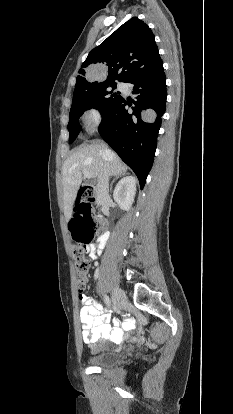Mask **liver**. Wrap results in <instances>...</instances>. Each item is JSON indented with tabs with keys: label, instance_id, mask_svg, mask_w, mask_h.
Segmentation results:
<instances>
[{
	"label": "liver",
	"instance_id": "obj_1",
	"mask_svg": "<svg viewBox=\"0 0 233 414\" xmlns=\"http://www.w3.org/2000/svg\"><path fill=\"white\" fill-rule=\"evenodd\" d=\"M105 163H109L110 175L125 173L127 166L116 153L100 140L92 141L74 152L62 167L64 215L70 219L83 177L97 178Z\"/></svg>",
	"mask_w": 233,
	"mask_h": 414
}]
</instances>
